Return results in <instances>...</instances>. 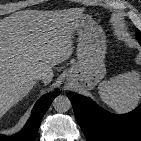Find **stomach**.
<instances>
[{"instance_id": "obj_1", "label": "stomach", "mask_w": 141, "mask_h": 141, "mask_svg": "<svg viewBox=\"0 0 141 141\" xmlns=\"http://www.w3.org/2000/svg\"><path fill=\"white\" fill-rule=\"evenodd\" d=\"M78 35L77 62L68 70L67 79L79 82L85 90L93 89L106 74L104 58L106 40L101 28L84 16L76 28Z\"/></svg>"}]
</instances>
